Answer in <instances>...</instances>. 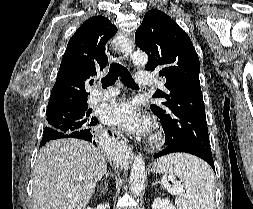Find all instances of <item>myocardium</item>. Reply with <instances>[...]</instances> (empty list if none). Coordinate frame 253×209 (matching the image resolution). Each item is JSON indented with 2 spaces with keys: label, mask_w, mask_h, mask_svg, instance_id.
<instances>
[{
  "label": "myocardium",
  "mask_w": 253,
  "mask_h": 209,
  "mask_svg": "<svg viewBox=\"0 0 253 209\" xmlns=\"http://www.w3.org/2000/svg\"><path fill=\"white\" fill-rule=\"evenodd\" d=\"M162 141V132L160 130H156L155 133L150 138V143L153 146L158 145Z\"/></svg>",
  "instance_id": "myocardium-1"
}]
</instances>
